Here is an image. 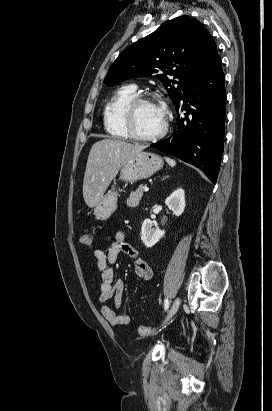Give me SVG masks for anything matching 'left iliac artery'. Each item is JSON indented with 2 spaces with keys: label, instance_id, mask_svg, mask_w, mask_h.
Here are the masks:
<instances>
[{
  "label": "left iliac artery",
  "instance_id": "left-iliac-artery-1",
  "mask_svg": "<svg viewBox=\"0 0 272 411\" xmlns=\"http://www.w3.org/2000/svg\"><path fill=\"white\" fill-rule=\"evenodd\" d=\"M169 308V301L168 299L164 300V309L167 310Z\"/></svg>",
  "mask_w": 272,
  "mask_h": 411
}]
</instances>
